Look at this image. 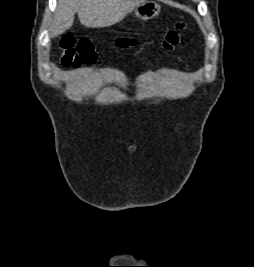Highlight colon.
<instances>
[{"instance_id": "colon-1", "label": "colon", "mask_w": 254, "mask_h": 267, "mask_svg": "<svg viewBox=\"0 0 254 267\" xmlns=\"http://www.w3.org/2000/svg\"><path fill=\"white\" fill-rule=\"evenodd\" d=\"M178 28H182V24H178ZM181 37L178 30H171L166 35L162 42L163 48L171 51L180 43ZM134 39L119 38L117 44L121 47H129L135 44ZM61 61L65 66H80L82 64H92L97 58L94 45L88 40L76 41L70 35H64L60 41Z\"/></svg>"}]
</instances>
